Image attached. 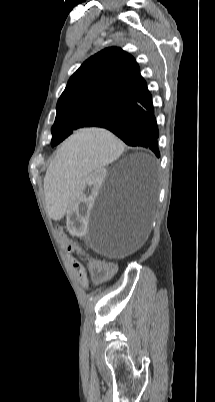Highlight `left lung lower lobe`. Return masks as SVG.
Wrapping results in <instances>:
<instances>
[{"instance_id": "obj_1", "label": "left lung lower lobe", "mask_w": 215, "mask_h": 402, "mask_svg": "<svg viewBox=\"0 0 215 402\" xmlns=\"http://www.w3.org/2000/svg\"><path fill=\"white\" fill-rule=\"evenodd\" d=\"M96 127L110 130L129 146L149 148L159 158L158 127L147 84L132 100Z\"/></svg>"}]
</instances>
